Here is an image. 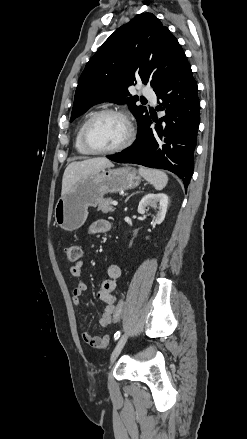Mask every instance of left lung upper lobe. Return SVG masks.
<instances>
[{
  "label": "left lung upper lobe",
  "instance_id": "left-lung-upper-lobe-1",
  "mask_svg": "<svg viewBox=\"0 0 247 439\" xmlns=\"http://www.w3.org/2000/svg\"><path fill=\"white\" fill-rule=\"evenodd\" d=\"M177 39L152 13L137 15L117 29L86 64L75 92L72 122L101 102L127 103L138 127L148 117L128 87L141 80L161 88L186 60Z\"/></svg>",
  "mask_w": 247,
  "mask_h": 439
}]
</instances>
